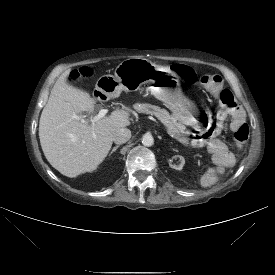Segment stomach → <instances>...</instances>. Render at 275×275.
I'll use <instances>...</instances> for the list:
<instances>
[{
    "instance_id": "0dacf381",
    "label": "stomach",
    "mask_w": 275,
    "mask_h": 275,
    "mask_svg": "<svg viewBox=\"0 0 275 275\" xmlns=\"http://www.w3.org/2000/svg\"><path fill=\"white\" fill-rule=\"evenodd\" d=\"M143 84H153L149 92L172 112L182 124L196 126V106L180 88L178 74L165 66H159L144 58H129L122 61L114 75H104L96 83L107 97L118 96L122 91L138 90Z\"/></svg>"
}]
</instances>
